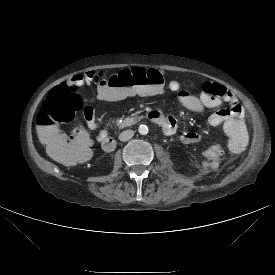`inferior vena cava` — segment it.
<instances>
[{"label": "inferior vena cava", "mask_w": 275, "mask_h": 275, "mask_svg": "<svg viewBox=\"0 0 275 275\" xmlns=\"http://www.w3.org/2000/svg\"><path fill=\"white\" fill-rule=\"evenodd\" d=\"M134 136V131L131 129L125 130L123 131L120 135H119V140L120 141H128L129 139H131Z\"/></svg>", "instance_id": "obj_1"}]
</instances>
